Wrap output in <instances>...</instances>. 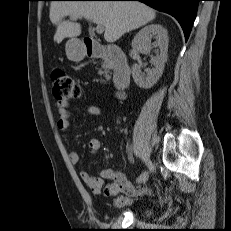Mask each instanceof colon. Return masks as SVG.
I'll list each match as a JSON object with an SVG mask.
<instances>
[{"label": "colon", "mask_w": 231, "mask_h": 231, "mask_svg": "<svg viewBox=\"0 0 231 231\" xmlns=\"http://www.w3.org/2000/svg\"><path fill=\"white\" fill-rule=\"evenodd\" d=\"M50 77L53 84V95L58 101L67 103L80 97L79 84L64 69L54 68Z\"/></svg>", "instance_id": "colon-1"}]
</instances>
